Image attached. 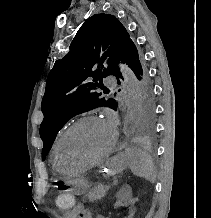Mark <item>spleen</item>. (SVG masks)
<instances>
[{
	"label": "spleen",
	"instance_id": "3e777b00",
	"mask_svg": "<svg viewBox=\"0 0 211 218\" xmlns=\"http://www.w3.org/2000/svg\"><path fill=\"white\" fill-rule=\"evenodd\" d=\"M126 156L132 174L139 176V178H145V180H149L154 184L156 174L151 156L147 152H142V150L127 152Z\"/></svg>",
	"mask_w": 211,
	"mask_h": 218
}]
</instances>
